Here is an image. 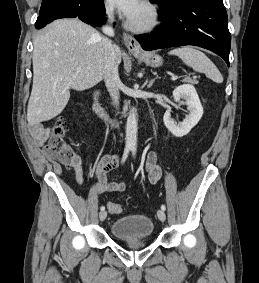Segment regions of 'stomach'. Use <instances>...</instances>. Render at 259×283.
<instances>
[{
    "label": "stomach",
    "instance_id": "stomach-1",
    "mask_svg": "<svg viewBox=\"0 0 259 283\" xmlns=\"http://www.w3.org/2000/svg\"><path fill=\"white\" fill-rule=\"evenodd\" d=\"M133 54L136 56V57H140L142 58L145 63L151 67H159L162 65L163 63V59L161 56L157 55V54H154V53H146L144 55H140L138 53H134Z\"/></svg>",
    "mask_w": 259,
    "mask_h": 283
}]
</instances>
